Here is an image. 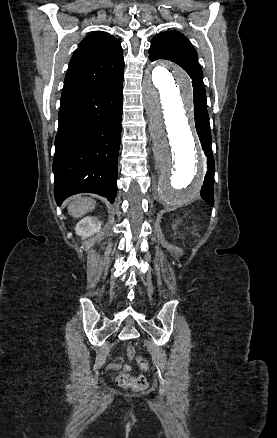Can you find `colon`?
Wrapping results in <instances>:
<instances>
[{"mask_svg": "<svg viewBox=\"0 0 277 438\" xmlns=\"http://www.w3.org/2000/svg\"><path fill=\"white\" fill-rule=\"evenodd\" d=\"M128 357L130 359L136 358L141 368L147 369L148 363L140 355H137L133 348L128 349ZM116 383L126 389L141 390V389H156V380H146L145 377H136L126 373H121L115 378Z\"/></svg>", "mask_w": 277, "mask_h": 438, "instance_id": "obj_1", "label": "colon"}]
</instances>
